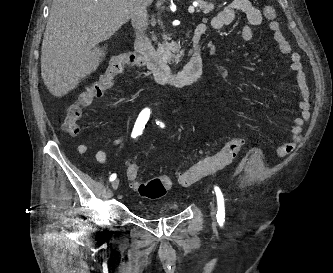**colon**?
<instances>
[{
  "label": "colon",
  "mask_w": 333,
  "mask_h": 273,
  "mask_svg": "<svg viewBox=\"0 0 333 273\" xmlns=\"http://www.w3.org/2000/svg\"><path fill=\"white\" fill-rule=\"evenodd\" d=\"M263 14L267 20H273L276 16V11L273 7L266 6L263 9ZM142 64V58L133 52L112 58L106 71L82 91L77 99L66 108L63 121L64 131L71 136L77 135L80 130L79 123L83 110L90 107L95 100L102 98L105 92L113 87L116 78L121 73L131 67ZM243 144L244 139L241 136L229 139L218 152L180 172L178 174L179 184L184 187L190 186L203 176L225 167L237 156ZM126 177L129 186L141 197L148 199L162 197L171 186V179L166 175L144 180L141 176L140 167L132 162L127 164Z\"/></svg>",
  "instance_id": "1"
}]
</instances>
